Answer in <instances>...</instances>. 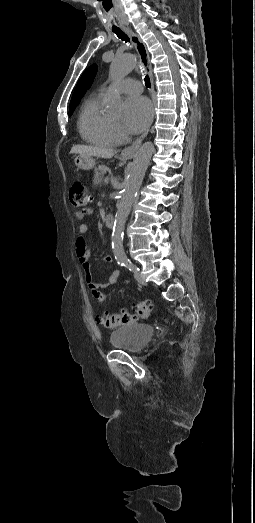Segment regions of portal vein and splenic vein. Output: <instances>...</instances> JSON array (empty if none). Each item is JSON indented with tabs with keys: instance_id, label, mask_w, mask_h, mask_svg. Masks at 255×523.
Returning <instances> with one entry per match:
<instances>
[{
	"instance_id": "18ae733b",
	"label": "portal vein and splenic vein",
	"mask_w": 255,
	"mask_h": 523,
	"mask_svg": "<svg viewBox=\"0 0 255 523\" xmlns=\"http://www.w3.org/2000/svg\"><path fill=\"white\" fill-rule=\"evenodd\" d=\"M112 180V174H108L105 179L103 180V183L105 185H108L110 183V181Z\"/></svg>"
}]
</instances>
